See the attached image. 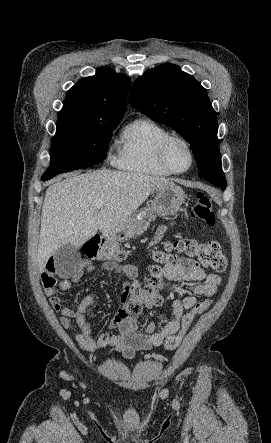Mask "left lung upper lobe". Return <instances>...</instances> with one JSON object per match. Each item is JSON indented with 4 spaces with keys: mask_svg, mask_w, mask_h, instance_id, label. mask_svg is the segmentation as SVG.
Wrapping results in <instances>:
<instances>
[{
    "mask_svg": "<svg viewBox=\"0 0 271 443\" xmlns=\"http://www.w3.org/2000/svg\"><path fill=\"white\" fill-rule=\"evenodd\" d=\"M131 101L141 113L183 136L195 155L199 177L226 188L216 112L206 89L194 77L177 65L162 64L134 82Z\"/></svg>",
    "mask_w": 271,
    "mask_h": 443,
    "instance_id": "1",
    "label": "left lung upper lobe"
}]
</instances>
